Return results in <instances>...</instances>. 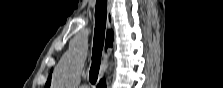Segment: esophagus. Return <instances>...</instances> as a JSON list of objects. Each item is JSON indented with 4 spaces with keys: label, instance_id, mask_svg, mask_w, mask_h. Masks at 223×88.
Instances as JSON below:
<instances>
[{
    "label": "esophagus",
    "instance_id": "esophagus-1",
    "mask_svg": "<svg viewBox=\"0 0 223 88\" xmlns=\"http://www.w3.org/2000/svg\"><path fill=\"white\" fill-rule=\"evenodd\" d=\"M112 8H113V2L112 0H108L107 3V26L109 29H111L113 27V12H112ZM110 49H108L107 53L104 54L103 56V61L101 64V68H100V73H99V78L101 79L104 75V72L108 66V61H109V55H110Z\"/></svg>",
    "mask_w": 223,
    "mask_h": 88
}]
</instances>
